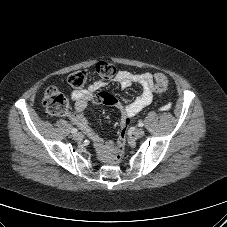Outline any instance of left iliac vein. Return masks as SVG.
<instances>
[{"label":"left iliac vein","instance_id":"obj_1","mask_svg":"<svg viewBox=\"0 0 227 227\" xmlns=\"http://www.w3.org/2000/svg\"><path fill=\"white\" fill-rule=\"evenodd\" d=\"M144 134H145V132H144V130L141 129V128H138V129H136V130L134 131V136H135L136 138H141V137L144 136Z\"/></svg>","mask_w":227,"mask_h":227}]
</instances>
